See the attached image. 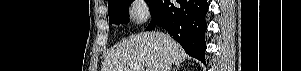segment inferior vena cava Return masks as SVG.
Masks as SVG:
<instances>
[{
	"mask_svg": "<svg viewBox=\"0 0 301 71\" xmlns=\"http://www.w3.org/2000/svg\"><path fill=\"white\" fill-rule=\"evenodd\" d=\"M170 66H171V61L168 59L166 62H165V64H164V66H163V71H170Z\"/></svg>",
	"mask_w": 301,
	"mask_h": 71,
	"instance_id": "inferior-vena-cava-1",
	"label": "inferior vena cava"
}]
</instances>
